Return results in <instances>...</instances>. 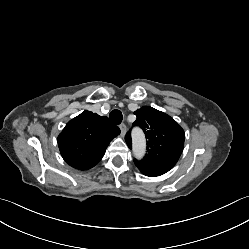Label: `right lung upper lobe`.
Instances as JSON below:
<instances>
[{
	"label": "right lung upper lobe",
	"mask_w": 249,
	"mask_h": 249,
	"mask_svg": "<svg viewBox=\"0 0 249 249\" xmlns=\"http://www.w3.org/2000/svg\"><path fill=\"white\" fill-rule=\"evenodd\" d=\"M120 134L106 116L84 111L69 121L58 136V145L66 163L88 170L103 157L110 141Z\"/></svg>",
	"instance_id": "obj_1"
}]
</instances>
